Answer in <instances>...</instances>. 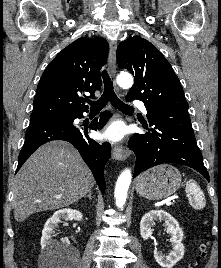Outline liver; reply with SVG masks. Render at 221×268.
Returning <instances> with one entry per match:
<instances>
[{
    "mask_svg": "<svg viewBox=\"0 0 221 268\" xmlns=\"http://www.w3.org/2000/svg\"><path fill=\"white\" fill-rule=\"evenodd\" d=\"M94 183L71 144L49 142L31 155L14 179V218L21 222L36 212L67 207L91 191Z\"/></svg>",
    "mask_w": 221,
    "mask_h": 268,
    "instance_id": "1",
    "label": "liver"
}]
</instances>
